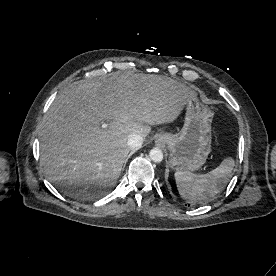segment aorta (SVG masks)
<instances>
[{"mask_svg":"<svg viewBox=\"0 0 276 276\" xmlns=\"http://www.w3.org/2000/svg\"><path fill=\"white\" fill-rule=\"evenodd\" d=\"M149 157L153 162L159 163L163 160V152L158 148H153L149 153Z\"/></svg>","mask_w":276,"mask_h":276,"instance_id":"obj_1","label":"aorta"}]
</instances>
